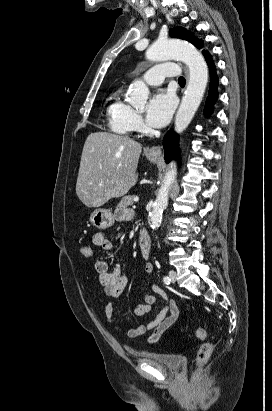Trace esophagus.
Masks as SVG:
<instances>
[{"label":"esophagus","instance_id":"esophagus-1","mask_svg":"<svg viewBox=\"0 0 272 411\" xmlns=\"http://www.w3.org/2000/svg\"><path fill=\"white\" fill-rule=\"evenodd\" d=\"M184 73L186 75V78L188 79V70L185 67H184ZM146 154L150 156L160 157L162 155L161 146L158 145V146H153V147L148 148L146 150Z\"/></svg>","mask_w":272,"mask_h":411}]
</instances>
